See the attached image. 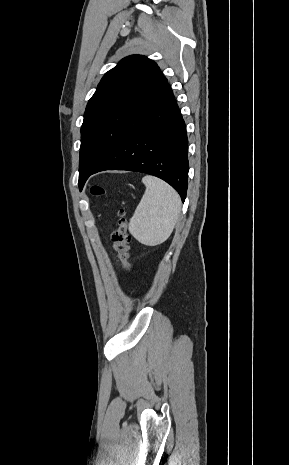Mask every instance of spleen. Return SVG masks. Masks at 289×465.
<instances>
[{"mask_svg": "<svg viewBox=\"0 0 289 465\" xmlns=\"http://www.w3.org/2000/svg\"><path fill=\"white\" fill-rule=\"evenodd\" d=\"M145 193L129 222V232L140 243L155 246L166 241L177 223L181 200L167 183L153 176L142 179Z\"/></svg>", "mask_w": 289, "mask_h": 465, "instance_id": "spleen-1", "label": "spleen"}]
</instances>
